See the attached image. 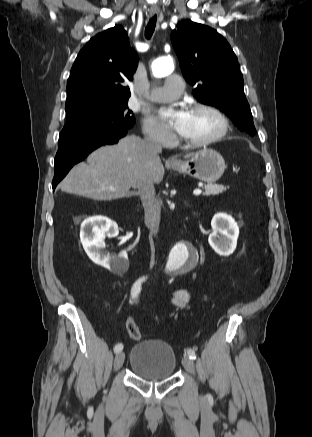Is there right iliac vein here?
I'll use <instances>...</instances> for the list:
<instances>
[{
	"instance_id": "1",
	"label": "right iliac vein",
	"mask_w": 312,
	"mask_h": 437,
	"mask_svg": "<svg viewBox=\"0 0 312 437\" xmlns=\"http://www.w3.org/2000/svg\"><path fill=\"white\" fill-rule=\"evenodd\" d=\"M124 359H125V354H124V352H119V353L116 355L115 360H114V369H115V370H118V369L121 368V366H122L123 363H124Z\"/></svg>"
}]
</instances>
